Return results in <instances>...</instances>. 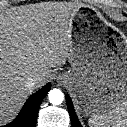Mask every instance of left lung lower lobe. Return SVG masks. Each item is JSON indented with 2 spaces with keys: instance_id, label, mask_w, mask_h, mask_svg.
<instances>
[{
  "instance_id": "1",
  "label": "left lung lower lobe",
  "mask_w": 127,
  "mask_h": 127,
  "mask_svg": "<svg viewBox=\"0 0 127 127\" xmlns=\"http://www.w3.org/2000/svg\"><path fill=\"white\" fill-rule=\"evenodd\" d=\"M66 103H67L68 111L70 114L72 127H82L77 116H76V113L74 111V106H73V103L71 101V98L68 95L66 96Z\"/></svg>"
}]
</instances>
